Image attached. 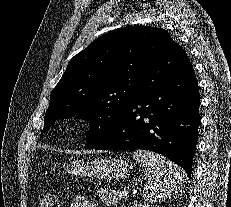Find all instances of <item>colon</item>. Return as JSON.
Wrapping results in <instances>:
<instances>
[{
    "label": "colon",
    "instance_id": "1",
    "mask_svg": "<svg viewBox=\"0 0 231 207\" xmlns=\"http://www.w3.org/2000/svg\"><path fill=\"white\" fill-rule=\"evenodd\" d=\"M40 207H58V200L56 195L52 193L41 195Z\"/></svg>",
    "mask_w": 231,
    "mask_h": 207
}]
</instances>
